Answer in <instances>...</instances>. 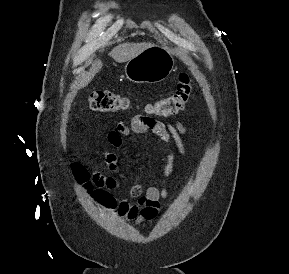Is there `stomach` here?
<instances>
[{
	"label": "stomach",
	"instance_id": "obj_1",
	"mask_svg": "<svg viewBox=\"0 0 289 274\" xmlns=\"http://www.w3.org/2000/svg\"><path fill=\"white\" fill-rule=\"evenodd\" d=\"M174 57L168 46L151 45L130 59L124 68L128 80L134 83H158L174 68Z\"/></svg>",
	"mask_w": 289,
	"mask_h": 274
}]
</instances>
